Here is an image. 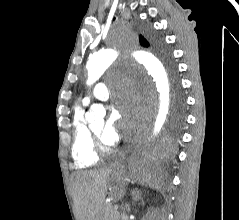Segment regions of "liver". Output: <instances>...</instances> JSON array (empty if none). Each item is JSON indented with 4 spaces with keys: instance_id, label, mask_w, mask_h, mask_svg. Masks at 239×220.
Instances as JSON below:
<instances>
[{
    "instance_id": "1",
    "label": "liver",
    "mask_w": 239,
    "mask_h": 220,
    "mask_svg": "<svg viewBox=\"0 0 239 220\" xmlns=\"http://www.w3.org/2000/svg\"><path fill=\"white\" fill-rule=\"evenodd\" d=\"M110 168L72 174L71 187L77 220H103Z\"/></svg>"
}]
</instances>
